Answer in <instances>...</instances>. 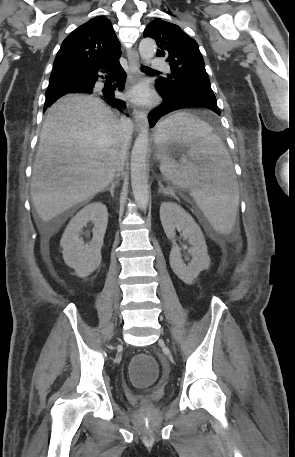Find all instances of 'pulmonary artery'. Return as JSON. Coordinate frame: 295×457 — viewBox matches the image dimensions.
I'll return each mask as SVG.
<instances>
[{
	"label": "pulmonary artery",
	"instance_id": "e3ab8cb5",
	"mask_svg": "<svg viewBox=\"0 0 295 457\" xmlns=\"http://www.w3.org/2000/svg\"><path fill=\"white\" fill-rule=\"evenodd\" d=\"M151 67L153 69H158V70H162V71H167L168 70V65L161 58H153L151 60Z\"/></svg>",
	"mask_w": 295,
	"mask_h": 457
}]
</instances>
